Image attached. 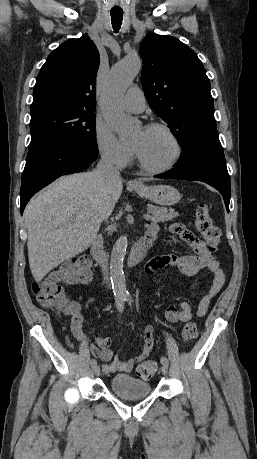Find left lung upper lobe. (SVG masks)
Here are the masks:
<instances>
[{
    "label": "left lung upper lobe",
    "mask_w": 257,
    "mask_h": 459,
    "mask_svg": "<svg viewBox=\"0 0 257 459\" xmlns=\"http://www.w3.org/2000/svg\"><path fill=\"white\" fill-rule=\"evenodd\" d=\"M141 84L151 109L172 128L184 159L197 138L216 129L210 80L196 53L175 37L149 34L140 45Z\"/></svg>",
    "instance_id": "5c2ea615"
}]
</instances>
